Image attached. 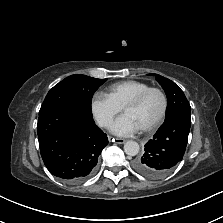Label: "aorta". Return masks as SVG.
Returning a JSON list of instances; mask_svg holds the SVG:
<instances>
[{"mask_svg":"<svg viewBox=\"0 0 223 223\" xmlns=\"http://www.w3.org/2000/svg\"><path fill=\"white\" fill-rule=\"evenodd\" d=\"M139 144L129 140L124 144V152L129 156H136L139 153Z\"/></svg>","mask_w":223,"mask_h":223,"instance_id":"aorta-1","label":"aorta"}]
</instances>
